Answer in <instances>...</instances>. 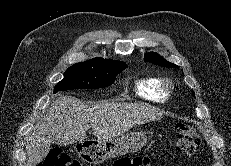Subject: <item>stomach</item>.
<instances>
[{
	"label": "stomach",
	"instance_id": "stomach-1",
	"mask_svg": "<svg viewBox=\"0 0 231 166\" xmlns=\"http://www.w3.org/2000/svg\"><path fill=\"white\" fill-rule=\"evenodd\" d=\"M147 143L144 132H131L116 139H87L75 144L78 156L88 162L98 164L108 158H114L126 153L137 152Z\"/></svg>",
	"mask_w": 231,
	"mask_h": 166
}]
</instances>
